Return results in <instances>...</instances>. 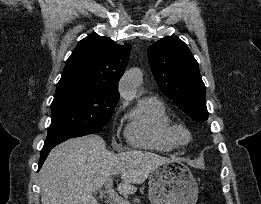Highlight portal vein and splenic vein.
<instances>
[{
	"label": "portal vein and splenic vein",
	"instance_id": "18ae733b",
	"mask_svg": "<svg viewBox=\"0 0 261 204\" xmlns=\"http://www.w3.org/2000/svg\"><path fill=\"white\" fill-rule=\"evenodd\" d=\"M113 181L112 179H108L105 183V191L108 195L113 199L116 204H129L128 201L124 200L121 196H119L115 190L112 188Z\"/></svg>",
	"mask_w": 261,
	"mask_h": 204
}]
</instances>
